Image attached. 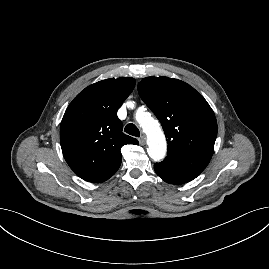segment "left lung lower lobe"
I'll use <instances>...</instances> for the list:
<instances>
[{"instance_id": "left-lung-lower-lobe-1", "label": "left lung lower lobe", "mask_w": 269, "mask_h": 269, "mask_svg": "<svg viewBox=\"0 0 269 269\" xmlns=\"http://www.w3.org/2000/svg\"><path fill=\"white\" fill-rule=\"evenodd\" d=\"M209 161L200 156L169 152L163 162L154 165V170L169 184H183L195 179Z\"/></svg>"}]
</instances>
